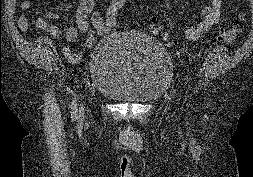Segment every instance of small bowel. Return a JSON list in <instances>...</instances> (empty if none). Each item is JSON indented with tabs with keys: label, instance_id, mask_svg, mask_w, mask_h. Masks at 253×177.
<instances>
[{
	"label": "small bowel",
	"instance_id": "1",
	"mask_svg": "<svg viewBox=\"0 0 253 177\" xmlns=\"http://www.w3.org/2000/svg\"><path fill=\"white\" fill-rule=\"evenodd\" d=\"M97 0H79V5L76 11V27H67L63 30V36L68 41H75L78 44L87 48L94 46L98 37L105 36L103 27V14L95 10ZM223 0H210L208 6L204 8L201 14V20L197 25L188 27L184 33L188 40L197 41L209 29L216 25L221 18V6ZM31 6L30 0L22 1V8L29 9ZM61 14L54 12H47L41 19V25L44 26L54 36L61 34L60 30L48 23L50 20L58 19ZM18 25L21 29L26 30L28 28V22L24 15L18 19ZM86 35L84 41L79 40V34ZM62 54L70 62H77L81 58L80 52H74L68 47L62 48Z\"/></svg>",
	"mask_w": 253,
	"mask_h": 177
}]
</instances>
